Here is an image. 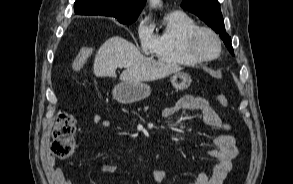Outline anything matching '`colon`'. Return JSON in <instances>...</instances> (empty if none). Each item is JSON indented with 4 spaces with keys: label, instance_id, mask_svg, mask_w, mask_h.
<instances>
[{
    "label": "colon",
    "instance_id": "1",
    "mask_svg": "<svg viewBox=\"0 0 293 184\" xmlns=\"http://www.w3.org/2000/svg\"><path fill=\"white\" fill-rule=\"evenodd\" d=\"M93 53V47L82 48L71 63V70H79ZM216 99L222 107H228L229 100L224 94H217ZM75 131L76 121L73 115L67 111H60L56 116L52 132L53 140L50 148L52 158L62 160L73 154L75 150V141L73 137Z\"/></svg>",
    "mask_w": 293,
    "mask_h": 184
}]
</instances>
